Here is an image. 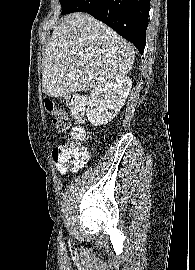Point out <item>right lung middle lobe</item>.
Masks as SVG:
<instances>
[{
	"label": "right lung middle lobe",
	"instance_id": "right-lung-middle-lobe-1",
	"mask_svg": "<svg viewBox=\"0 0 195 270\" xmlns=\"http://www.w3.org/2000/svg\"><path fill=\"white\" fill-rule=\"evenodd\" d=\"M77 0H60V4L62 6V15L69 14L72 6Z\"/></svg>",
	"mask_w": 195,
	"mask_h": 270
}]
</instances>
